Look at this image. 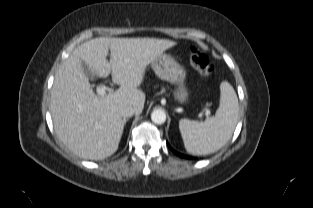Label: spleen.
I'll return each mask as SVG.
<instances>
[{
	"label": "spleen",
	"mask_w": 313,
	"mask_h": 208,
	"mask_svg": "<svg viewBox=\"0 0 313 208\" xmlns=\"http://www.w3.org/2000/svg\"><path fill=\"white\" fill-rule=\"evenodd\" d=\"M220 91V105L215 116L203 122L179 121L185 149L191 154L205 155L219 150L234 132L239 115L237 95L227 81L221 83Z\"/></svg>",
	"instance_id": "3e777b00"
}]
</instances>
